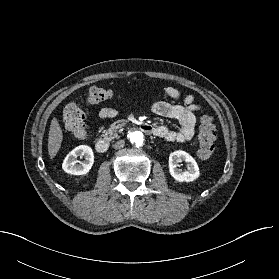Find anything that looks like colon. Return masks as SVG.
I'll return each instance as SVG.
<instances>
[{
    "instance_id": "5ec220e1",
    "label": "colon",
    "mask_w": 279,
    "mask_h": 279,
    "mask_svg": "<svg viewBox=\"0 0 279 279\" xmlns=\"http://www.w3.org/2000/svg\"><path fill=\"white\" fill-rule=\"evenodd\" d=\"M113 97V92L101 86H93L86 93L89 104H97ZM63 122L65 127L77 138L85 139V114L78 104L70 102L63 109ZM198 156L202 159L210 158L215 150V127L209 116H203L200 121L198 133Z\"/></svg>"
}]
</instances>
